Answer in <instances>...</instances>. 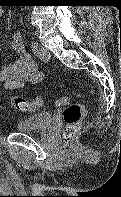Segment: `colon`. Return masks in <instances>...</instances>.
Wrapping results in <instances>:
<instances>
[{
    "label": "colon",
    "mask_w": 121,
    "mask_h": 197,
    "mask_svg": "<svg viewBox=\"0 0 121 197\" xmlns=\"http://www.w3.org/2000/svg\"><path fill=\"white\" fill-rule=\"evenodd\" d=\"M43 100L36 97L33 101L21 97H13V106L20 111H37L42 106ZM56 106H65L63 119L66 123L64 138L69 144L78 134L84 116L85 108L81 104H70L68 97H61L55 101Z\"/></svg>",
    "instance_id": "obj_1"
}]
</instances>
